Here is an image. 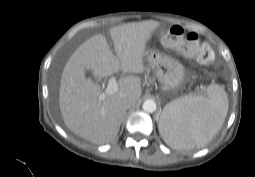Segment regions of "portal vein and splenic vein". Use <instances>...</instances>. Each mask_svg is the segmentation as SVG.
Here are the masks:
<instances>
[{
	"instance_id": "1",
	"label": "portal vein and splenic vein",
	"mask_w": 255,
	"mask_h": 177,
	"mask_svg": "<svg viewBox=\"0 0 255 177\" xmlns=\"http://www.w3.org/2000/svg\"><path fill=\"white\" fill-rule=\"evenodd\" d=\"M118 91V83L115 77H111L108 81V86L104 92L100 93L99 99L103 100L106 96H110Z\"/></svg>"
}]
</instances>
